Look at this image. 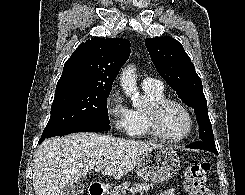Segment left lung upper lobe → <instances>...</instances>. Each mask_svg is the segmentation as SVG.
Returning a JSON list of instances; mask_svg holds the SVG:
<instances>
[{
	"mask_svg": "<svg viewBox=\"0 0 245 195\" xmlns=\"http://www.w3.org/2000/svg\"><path fill=\"white\" fill-rule=\"evenodd\" d=\"M145 45L161 77L194 109L200 141L215 146L202 82L182 44L172 37H159L147 38Z\"/></svg>",
	"mask_w": 245,
	"mask_h": 195,
	"instance_id": "1",
	"label": "left lung upper lobe"
}]
</instances>
